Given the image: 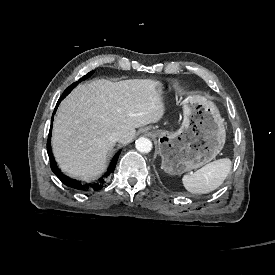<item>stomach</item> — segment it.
Returning a JSON list of instances; mask_svg holds the SVG:
<instances>
[{
    "mask_svg": "<svg viewBox=\"0 0 275 275\" xmlns=\"http://www.w3.org/2000/svg\"><path fill=\"white\" fill-rule=\"evenodd\" d=\"M162 91L167 94L168 88ZM161 169L168 175H181L197 169L222 151L226 130L217 107L200 95L184 101V119L177 131L156 130Z\"/></svg>",
    "mask_w": 275,
    "mask_h": 275,
    "instance_id": "obj_1",
    "label": "stomach"
}]
</instances>
